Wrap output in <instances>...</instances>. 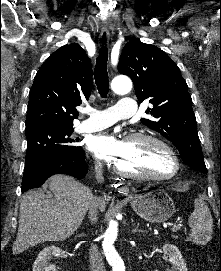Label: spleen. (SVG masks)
<instances>
[{
    "label": "spleen",
    "instance_id": "spleen-1",
    "mask_svg": "<svg viewBox=\"0 0 221 271\" xmlns=\"http://www.w3.org/2000/svg\"><path fill=\"white\" fill-rule=\"evenodd\" d=\"M188 223L191 233L188 241H193L197 245H206L212 239L213 219L211 211L203 199H195L194 209L189 215Z\"/></svg>",
    "mask_w": 221,
    "mask_h": 271
}]
</instances>
